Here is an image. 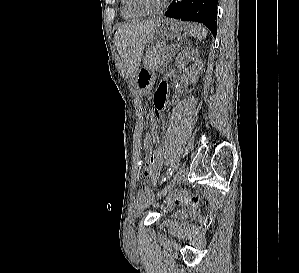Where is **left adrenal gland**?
Returning <instances> with one entry per match:
<instances>
[{"label":"left adrenal gland","mask_w":299,"mask_h":273,"mask_svg":"<svg viewBox=\"0 0 299 273\" xmlns=\"http://www.w3.org/2000/svg\"><path fill=\"white\" fill-rule=\"evenodd\" d=\"M178 48H179V47H177V50H178ZM173 55H175V52L173 53Z\"/></svg>","instance_id":"a2214340"}]
</instances>
